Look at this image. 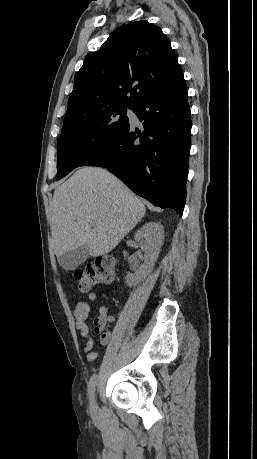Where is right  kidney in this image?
<instances>
[{
  "label": "right kidney",
  "instance_id": "right-kidney-1",
  "mask_svg": "<svg viewBox=\"0 0 257 459\" xmlns=\"http://www.w3.org/2000/svg\"><path fill=\"white\" fill-rule=\"evenodd\" d=\"M134 238L145 251V255L143 267L136 269L135 274L128 273L126 276L127 285L130 287L145 279L153 270L164 242L163 227L160 223L149 222L137 231Z\"/></svg>",
  "mask_w": 257,
  "mask_h": 459
}]
</instances>
